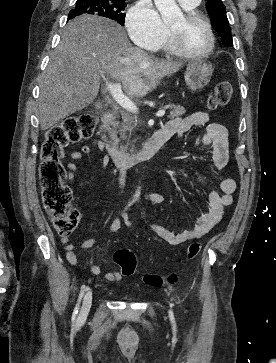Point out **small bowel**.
I'll return each mask as SVG.
<instances>
[{
	"instance_id": "small-bowel-1",
	"label": "small bowel",
	"mask_w": 276,
	"mask_h": 363,
	"mask_svg": "<svg viewBox=\"0 0 276 363\" xmlns=\"http://www.w3.org/2000/svg\"><path fill=\"white\" fill-rule=\"evenodd\" d=\"M210 116L205 111L195 112L184 118H174L170 120L159 132L166 133L169 138L174 134L179 136L183 135L193 126H206V133L201 139L203 146L211 147V162L215 170L220 171L226 167L229 161V140L228 131L226 127L220 123L209 122ZM93 146L97 148L102 147V142L95 141ZM92 152L90 146L84 145L79 150L72 151L70 153L71 162H68L66 167L69 170L68 180L73 181L76 178L78 166L74 163L76 160H80L84 155H88ZM105 161H103V164ZM236 190V182L232 178H222L219 182V191L213 190L209 194V207L208 210L198 216L190 229L184 230L180 233H173L165 227L143 220L146 226L154 233L153 239L158 242H165L171 245H178L183 242L199 239L209 233L215 225H217L224 213V209L232 204V194ZM145 201L152 202L154 204H163L165 198L158 193H150L145 196ZM125 223L132 225L134 221L128 220L125 216ZM121 227V219H115L110 225L109 231L111 233L117 232ZM61 242L64 245L66 251V257L71 265L78 266L79 261L73 252L74 245L68 241L67 238L62 237ZM95 245L94 239H85L81 242L80 248L83 251L91 250ZM89 271L93 275H101L102 269L98 265H90ZM125 276L120 272H107L103 274V278L109 282L120 281Z\"/></svg>"
}]
</instances>
